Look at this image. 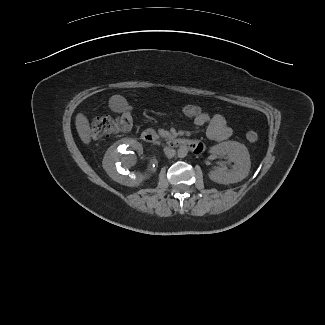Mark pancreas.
I'll return each instance as SVG.
<instances>
[{"mask_svg":"<svg viewBox=\"0 0 325 325\" xmlns=\"http://www.w3.org/2000/svg\"><path fill=\"white\" fill-rule=\"evenodd\" d=\"M158 133L159 135L162 137V138H165V139H168V138H171L172 135L170 134V132L164 130V129H159L158 130Z\"/></svg>","mask_w":325,"mask_h":325,"instance_id":"1","label":"pancreas"}]
</instances>
